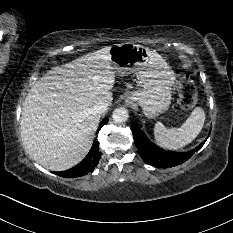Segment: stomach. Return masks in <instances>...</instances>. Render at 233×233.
I'll list each match as a JSON object with an SVG mask.
<instances>
[{
  "mask_svg": "<svg viewBox=\"0 0 233 233\" xmlns=\"http://www.w3.org/2000/svg\"><path fill=\"white\" fill-rule=\"evenodd\" d=\"M109 56L117 74L136 73L143 86L127 95L128 104L141 106L148 118H154L169 108L175 74L160 55L148 47L128 42L111 46Z\"/></svg>",
  "mask_w": 233,
  "mask_h": 233,
  "instance_id": "stomach-1",
  "label": "stomach"
}]
</instances>
